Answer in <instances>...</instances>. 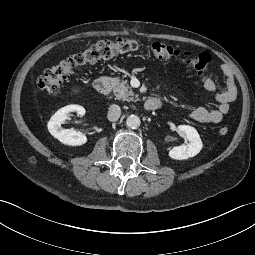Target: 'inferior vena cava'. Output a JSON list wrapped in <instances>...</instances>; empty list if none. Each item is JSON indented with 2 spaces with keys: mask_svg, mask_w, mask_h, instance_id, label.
<instances>
[{
  "mask_svg": "<svg viewBox=\"0 0 255 255\" xmlns=\"http://www.w3.org/2000/svg\"><path fill=\"white\" fill-rule=\"evenodd\" d=\"M120 115H121L120 107L116 104L110 105L108 109V114H107L108 120L115 122L119 119Z\"/></svg>",
  "mask_w": 255,
  "mask_h": 255,
  "instance_id": "1",
  "label": "inferior vena cava"
}]
</instances>
